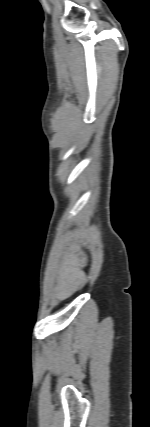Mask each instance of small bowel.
I'll list each match as a JSON object with an SVG mask.
<instances>
[{
  "label": "small bowel",
  "mask_w": 150,
  "mask_h": 427,
  "mask_svg": "<svg viewBox=\"0 0 150 427\" xmlns=\"http://www.w3.org/2000/svg\"><path fill=\"white\" fill-rule=\"evenodd\" d=\"M72 289H73V283L72 282H67V283L63 284L59 290V296L61 298L66 297L71 292Z\"/></svg>",
  "instance_id": "obj_1"
}]
</instances>
